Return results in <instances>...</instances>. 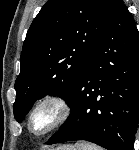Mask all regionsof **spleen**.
Returning <instances> with one entry per match:
<instances>
[{
  "mask_svg": "<svg viewBox=\"0 0 139 150\" xmlns=\"http://www.w3.org/2000/svg\"><path fill=\"white\" fill-rule=\"evenodd\" d=\"M76 149L77 150H103L101 147L93 145V144H89V143H78L76 145Z\"/></svg>",
  "mask_w": 139,
  "mask_h": 150,
  "instance_id": "spleen-1",
  "label": "spleen"
}]
</instances>
